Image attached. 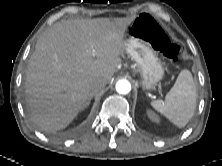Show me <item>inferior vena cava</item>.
I'll return each mask as SVG.
<instances>
[{
  "label": "inferior vena cava",
  "mask_w": 222,
  "mask_h": 166,
  "mask_svg": "<svg viewBox=\"0 0 222 166\" xmlns=\"http://www.w3.org/2000/svg\"><path fill=\"white\" fill-rule=\"evenodd\" d=\"M106 84H107V80L105 79H97L96 81H94L92 85L93 94L103 90Z\"/></svg>",
  "instance_id": "602c4592"
}]
</instances>
